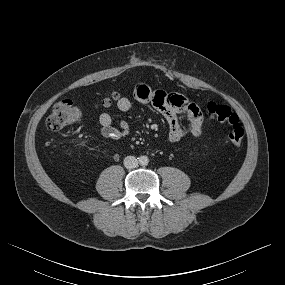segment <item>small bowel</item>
I'll return each instance as SVG.
<instances>
[{"label":"small bowel","mask_w":285,"mask_h":285,"mask_svg":"<svg viewBox=\"0 0 285 285\" xmlns=\"http://www.w3.org/2000/svg\"><path fill=\"white\" fill-rule=\"evenodd\" d=\"M134 98L141 104H150L165 118L168 127V145L180 142L187 135L198 137L203 128L204 116L198 105L189 101L185 96L177 93H167L162 90H152L146 84H138L134 88ZM132 106L131 100L122 96L117 99V108L128 111ZM178 115H184L189 124L185 127L178 121ZM99 130L103 137L119 140L130 132V125L124 119L114 120L112 116L103 112L99 117Z\"/></svg>","instance_id":"c3829d8e"}]
</instances>
